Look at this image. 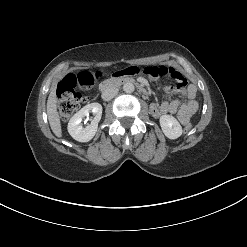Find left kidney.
Returning <instances> with one entry per match:
<instances>
[{"label":"left kidney","instance_id":"obj_1","mask_svg":"<svg viewBox=\"0 0 247 247\" xmlns=\"http://www.w3.org/2000/svg\"><path fill=\"white\" fill-rule=\"evenodd\" d=\"M160 126L163 133L169 139H177L182 135V127L177 119L171 115H162L160 117Z\"/></svg>","mask_w":247,"mask_h":247}]
</instances>
